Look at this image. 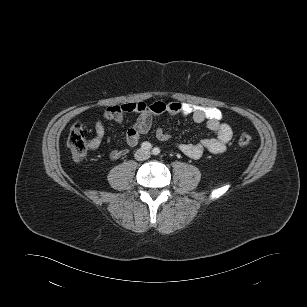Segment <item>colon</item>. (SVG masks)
Listing matches in <instances>:
<instances>
[{"label": "colon", "instance_id": "obj_1", "mask_svg": "<svg viewBox=\"0 0 307 307\" xmlns=\"http://www.w3.org/2000/svg\"><path fill=\"white\" fill-rule=\"evenodd\" d=\"M241 147H247L252 143V137L247 133H242L237 140ZM68 146L76 160L83 159L90 147V141L86 137L84 126L80 123L74 124L69 132Z\"/></svg>", "mask_w": 307, "mask_h": 307}]
</instances>
